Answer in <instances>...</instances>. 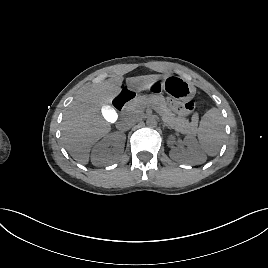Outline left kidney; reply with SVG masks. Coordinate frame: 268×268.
<instances>
[{
	"label": "left kidney",
	"mask_w": 268,
	"mask_h": 268,
	"mask_svg": "<svg viewBox=\"0 0 268 268\" xmlns=\"http://www.w3.org/2000/svg\"><path fill=\"white\" fill-rule=\"evenodd\" d=\"M175 143V138L169 136L168 145L171 147L169 156L172 159L192 165L201 164L206 161V156L201 151L194 137L187 136L184 138L183 143L187 147L186 149L183 147H175Z\"/></svg>",
	"instance_id": "5707ae66"
}]
</instances>
